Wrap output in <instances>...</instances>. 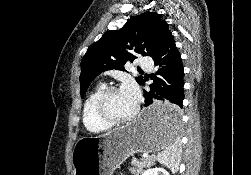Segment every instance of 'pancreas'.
Segmentation results:
<instances>
[{
	"instance_id": "cf45deb5",
	"label": "pancreas",
	"mask_w": 251,
	"mask_h": 175,
	"mask_svg": "<svg viewBox=\"0 0 251 175\" xmlns=\"http://www.w3.org/2000/svg\"><path fill=\"white\" fill-rule=\"evenodd\" d=\"M153 163V155H147V157H140V159H132L133 167H130V171L134 173V175H139L142 173L144 167H149Z\"/></svg>"
}]
</instances>
